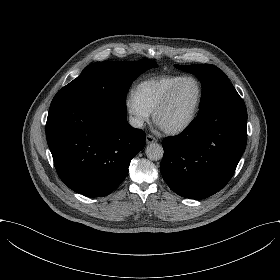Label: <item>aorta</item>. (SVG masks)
I'll return each instance as SVG.
<instances>
[{
  "instance_id": "obj_1",
  "label": "aorta",
  "mask_w": 280,
  "mask_h": 280,
  "mask_svg": "<svg viewBox=\"0 0 280 280\" xmlns=\"http://www.w3.org/2000/svg\"><path fill=\"white\" fill-rule=\"evenodd\" d=\"M163 154H164L163 147L158 143L150 144L146 148L147 158L152 161H157L162 159Z\"/></svg>"
}]
</instances>
